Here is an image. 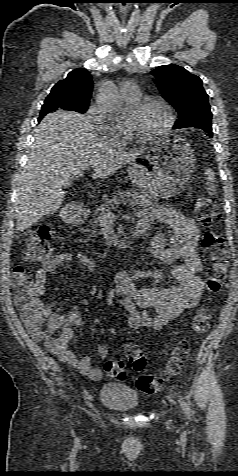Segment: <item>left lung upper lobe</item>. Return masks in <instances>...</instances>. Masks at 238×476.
<instances>
[{
    "label": "left lung upper lobe",
    "mask_w": 238,
    "mask_h": 476,
    "mask_svg": "<svg viewBox=\"0 0 238 476\" xmlns=\"http://www.w3.org/2000/svg\"><path fill=\"white\" fill-rule=\"evenodd\" d=\"M151 74L162 97L178 112L173 129L211 128L212 113L202 80L178 65L159 66Z\"/></svg>",
    "instance_id": "left-lung-upper-lobe-1"
}]
</instances>
